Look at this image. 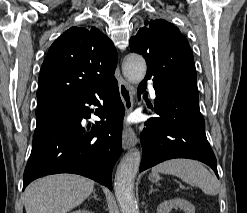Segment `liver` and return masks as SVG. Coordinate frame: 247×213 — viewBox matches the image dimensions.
<instances>
[{
	"instance_id": "1",
	"label": "liver",
	"mask_w": 247,
	"mask_h": 213,
	"mask_svg": "<svg viewBox=\"0 0 247 213\" xmlns=\"http://www.w3.org/2000/svg\"><path fill=\"white\" fill-rule=\"evenodd\" d=\"M94 181L75 174H56L30 184L24 192L26 213H67L93 191Z\"/></svg>"
}]
</instances>
